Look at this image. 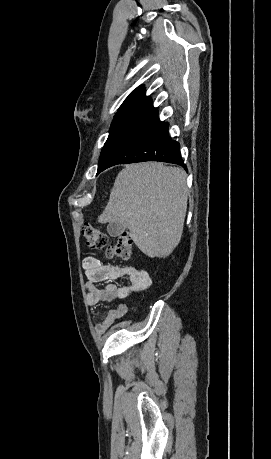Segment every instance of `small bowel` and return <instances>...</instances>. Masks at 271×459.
Masks as SVG:
<instances>
[{"mask_svg":"<svg viewBox=\"0 0 271 459\" xmlns=\"http://www.w3.org/2000/svg\"><path fill=\"white\" fill-rule=\"evenodd\" d=\"M83 269L88 279L86 297L87 304L96 305L104 301L124 299L127 296L146 289L151 279L145 270L132 266H116L103 264L93 256L83 260ZM127 278L129 283L126 286H118L114 283H107L104 287L98 288L97 283ZM127 312L125 304H119L115 309L110 310L101 323L96 325V332H106L117 320L121 319Z\"/></svg>","mask_w":271,"mask_h":459,"instance_id":"small-bowel-1","label":"small bowel"}]
</instances>
